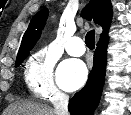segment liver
Listing matches in <instances>:
<instances>
[{
    "instance_id": "6515ba94",
    "label": "liver",
    "mask_w": 131,
    "mask_h": 115,
    "mask_svg": "<svg viewBox=\"0 0 131 115\" xmlns=\"http://www.w3.org/2000/svg\"><path fill=\"white\" fill-rule=\"evenodd\" d=\"M3 115H56L53 108L26 101L11 104Z\"/></svg>"
}]
</instances>
